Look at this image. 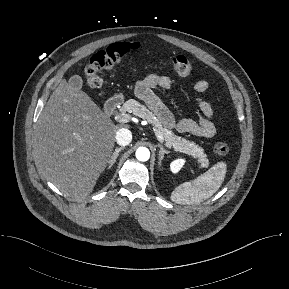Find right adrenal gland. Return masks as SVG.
I'll return each instance as SVG.
<instances>
[{
    "instance_id": "2a0ac1e0",
    "label": "right adrenal gland",
    "mask_w": 289,
    "mask_h": 289,
    "mask_svg": "<svg viewBox=\"0 0 289 289\" xmlns=\"http://www.w3.org/2000/svg\"><path fill=\"white\" fill-rule=\"evenodd\" d=\"M123 149H124V147H120V148H116L115 149V151L113 152V154L110 157L108 169H110L114 165V163L116 162V159H117L120 151L123 150Z\"/></svg>"
}]
</instances>
